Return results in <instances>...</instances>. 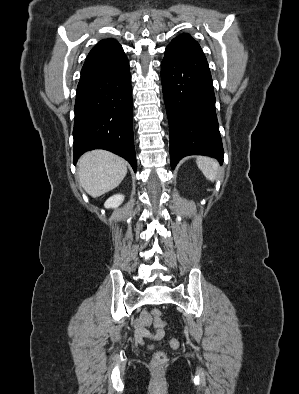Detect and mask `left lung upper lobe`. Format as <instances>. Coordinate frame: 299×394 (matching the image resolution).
Instances as JSON below:
<instances>
[{
    "mask_svg": "<svg viewBox=\"0 0 299 394\" xmlns=\"http://www.w3.org/2000/svg\"><path fill=\"white\" fill-rule=\"evenodd\" d=\"M167 48L182 50V51H199L202 52V49L198 42H196L191 35L189 34H181L174 38Z\"/></svg>",
    "mask_w": 299,
    "mask_h": 394,
    "instance_id": "obj_1",
    "label": "left lung upper lobe"
}]
</instances>
